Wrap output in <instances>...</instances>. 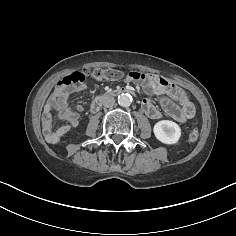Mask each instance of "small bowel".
<instances>
[{
    "label": "small bowel",
    "instance_id": "c3829d8e",
    "mask_svg": "<svg viewBox=\"0 0 236 236\" xmlns=\"http://www.w3.org/2000/svg\"><path fill=\"white\" fill-rule=\"evenodd\" d=\"M68 76L58 83V88L50 95L44 105L41 118L42 130L46 141L51 144L60 142L65 135L78 126L80 112L84 109L82 104H78L75 109L72 108L69 105L68 99L72 94L84 92L87 85L85 83L68 85L65 83ZM125 80L127 82H140L148 94L160 97L163 112L157 109L151 99H145L142 103L144 112L150 118L160 119L166 116L180 123H185L193 117L195 109L189 97L168 78L144 74V78L139 81L133 80L129 75H127ZM53 110L57 111L58 119L64 122L63 125L57 128H53L52 124Z\"/></svg>",
    "mask_w": 236,
    "mask_h": 236
}]
</instances>
